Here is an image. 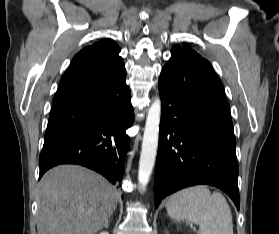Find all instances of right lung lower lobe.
Instances as JSON below:
<instances>
[{
	"label": "right lung lower lobe",
	"instance_id": "obj_1",
	"mask_svg": "<svg viewBox=\"0 0 279 234\" xmlns=\"http://www.w3.org/2000/svg\"><path fill=\"white\" fill-rule=\"evenodd\" d=\"M126 70L111 79L55 97L39 157V178L59 164H79L121 187L134 120Z\"/></svg>",
	"mask_w": 279,
	"mask_h": 234
}]
</instances>
